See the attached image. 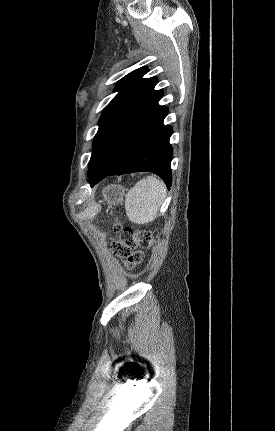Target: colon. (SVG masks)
<instances>
[{
	"label": "colon",
	"instance_id": "1",
	"mask_svg": "<svg viewBox=\"0 0 275 431\" xmlns=\"http://www.w3.org/2000/svg\"><path fill=\"white\" fill-rule=\"evenodd\" d=\"M114 230L120 233V237L112 243L113 251L124 258L127 265H137L143 258V249L150 247L153 242L151 233L130 227L123 228L119 223L114 225Z\"/></svg>",
	"mask_w": 275,
	"mask_h": 431
}]
</instances>
